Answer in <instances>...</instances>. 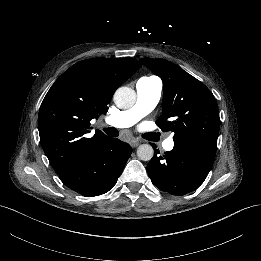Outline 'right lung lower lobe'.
Wrapping results in <instances>:
<instances>
[{"mask_svg": "<svg viewBox=\"0 0 261 261\" xmlns=\"http://www.w3.org/2000/svg\"><path fill=\"white\" fill-rule=\"evenodd\" d=\"M131 153L130 145L107 137L94 152L59 177L67 187L83 196L104 194L116 184Z\"/></svg>", "mask_w": 261, "mask_h": 261, "instance_id": "right-lung-lower-lobe-1", "label": "right lung lower lobe"}]
</instances>
